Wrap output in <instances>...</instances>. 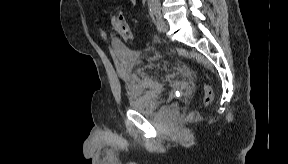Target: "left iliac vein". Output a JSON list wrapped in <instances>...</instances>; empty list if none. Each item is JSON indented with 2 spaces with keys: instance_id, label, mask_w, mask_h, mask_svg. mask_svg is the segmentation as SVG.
I'll return each instance as SVG.
<instances>
[{
  "instance_id": "1",
  "label": "left iliac vein",
  "mask_w": 288,
  "mask_h": 164,
  "mask_svg": "<svg viewBox=\"0 0 288 164\" xmlns=\"http://www.w3.org/2000/svg\"><path fill=\"white\" fill-rule=\"evenodd\" d=\"M158 30L159 32H166L168 30V24L161 16L158 18Z\"/></svg>"
}]
</instances>
